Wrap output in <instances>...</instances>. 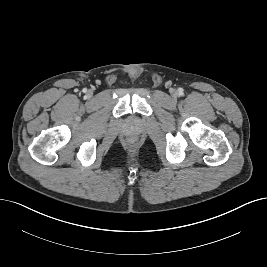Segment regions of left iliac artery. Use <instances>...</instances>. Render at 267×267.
I'll list each match as a JSON object with an SVG mask.
<instances>
[{
    "mask_svg": "<svg viewBox=\"0 0 267 267\" xmlns=\"http://www.w3.org/2000/svg\"><path fill=\"white\" fill-rule=\"evenodd\" d=\"M180 94H182V90H180Z\"/></svg>",
    "mask_w": 267,
    "mask_h": 267,
    "instance_id": "44dca946",
    "label": "left iliac artery"
}]
</instances>
